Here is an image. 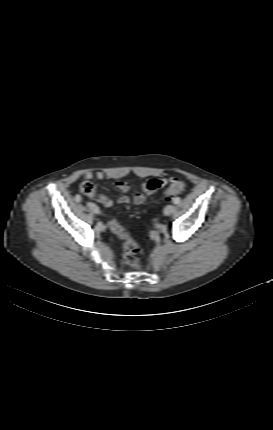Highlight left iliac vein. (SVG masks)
Wrapping results in <instances>:
<instances>
[{
    "label": "left iliac vein",
    "instance_id": "1",
    "mask_svg": "<svg viewBox=\"0 0 273 430\" xmlns=\"http://www.w3.org/2000/svg\"><path fill=\"white\" fill-rule=\"evenodd\" d=\"M174 211V206L173 205H167L164 208V215L169 216L171 215V213Z\"/></svg>",
    "mask_w": 273,
    "mask_h": 430
}]
</instances>
